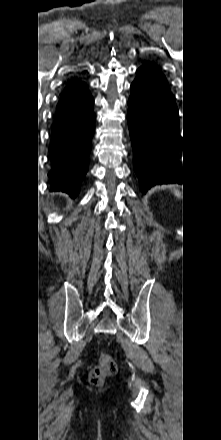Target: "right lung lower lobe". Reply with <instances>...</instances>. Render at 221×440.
<instances>
[{"label": "right lung lower lobe", "mask_w": 221, "mask_h": 440, "mask_svg": "<svg viewBox=\"0 0 221 440\" xmlns=\"http://www.w3.org/2000/svg\"><path fill=\"white\" fill-rule=\"evenodd\" d=\"M94 99L88 87L75 81L65 87L56 108L49 151L52 169L48 176L53 190L75 197L87 173L94 135Z\"/></svg>", "instance_id": "1"}]
</instances>
